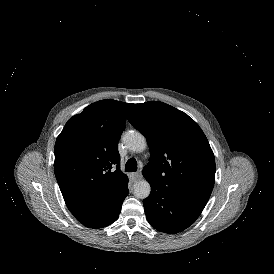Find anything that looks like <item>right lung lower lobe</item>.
Here are the masks:
<instances>
[{
  "label": "right lung lower lobe",
  "instance_id": "98d812e1",
  "mask_svg": "<svg viewBox=\"0 0 274 274\" xmlns=\"http://www.w3.org/2000/svg\"><path fill=\"white\" fill-rule=\"evenodd\" d=\"M128 184L115 196L113 202L110 204L108 210L101 216L100 219L82 223L89 228H102L118 219L121 212V206L128 195Z\"/></svg>",
  "mask_w": 274,
  "mask_h": 274
}]
</instances>
